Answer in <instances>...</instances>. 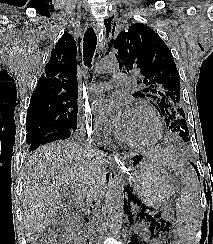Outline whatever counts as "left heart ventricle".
<instances>
[{
	"label": "left heart ventricle",
	"instance_id": "left-heart-ventricle-1",
	"mask_svg": "<svg viewBox=\"0 0 213 244\" xmlns=\"http://www.w3.org/2000/svg\"><path fill=\"white\" fill-rule=\"evenodd\" d=\"M118 133L130 141H145L156 135V125L147 113L131 111L126 124Z\"/></svg>",
	"mask_w": 213,
	"mask_h": 244
}]
</instances>
